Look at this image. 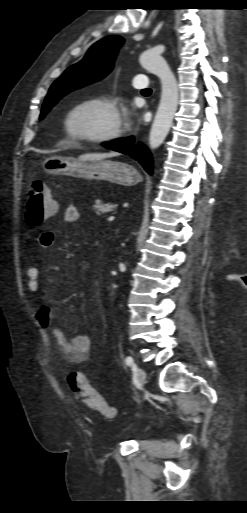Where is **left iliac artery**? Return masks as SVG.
I'll return each mask as SVG.
<instances>
[{
  "label": "left iliac artery",
  "mask_w": 247,
  "mask_h": 513,
  "mask_svg": "<svg viewBox=\"0 0 247 513\" xmlns=\"http://www.w3.org/2000/svg\"><path fill=\"white\" fill-rule=\"evenodd\" d=\"M126 364L127 365H130V366H133V367H136L135 364H134V360L131 356H128L125 360Z\"/></svg>",
  "instance_id": "44dca946"
}]
</instances>
